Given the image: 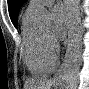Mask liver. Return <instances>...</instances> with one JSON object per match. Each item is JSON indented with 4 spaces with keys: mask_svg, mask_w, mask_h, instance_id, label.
<instances>
[{
    "mask_svg": "<svg viewBox=\"0 0 89 89\" xmlns=\"http://www.w3.org/2000/svg\"><path fill=\"white\" fill-rule=\"evenodd\" d=\"M52 85H56V82L44 78H31L26 81L24 89H51Z\"/></svg>",
    "mask_w": 89,
    "mask_h": 89,
    "instance_id": "6515ba94",
    "label": "liver"
}]
</instances>
